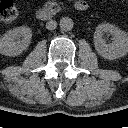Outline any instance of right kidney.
<instances>
[{"mask_svg": "<svg viewBox=\"0 0 128 128\" xmlns=\"http://www.w3.org/2000/svg\"><path fill=\"white\" fill-rule=\"evenodd\" d=\"M32 38V31L27 26H20L7 31L0 39V53L6 56H17L25 51Z\"/></svg>", "mask_w": 128, "mask_h": 128, "instance_id": "ca27d5eb", "label": "right kidney"}]
</instances>
